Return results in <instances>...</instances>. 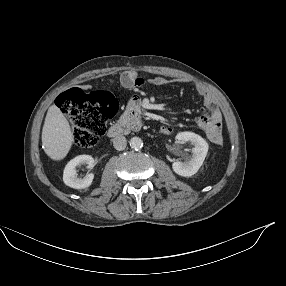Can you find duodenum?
<instances>
[{
  "mask_svg": "<svg viewBox=\"0 0 286 286\" xmlns=\"http://www.w3.org/2000/svg\"><path fill=\"white\" fill-rule=\"evenodd\" d=\"M133 113L136 115L127 120H122L118 123L112 124L107 130V136L110 138H115L129 133L131 130L139 129L140 121L137 117L138 111H134Z\"/></svg>",
  "mask_w": 286,
  "mask_h": 286,
  "instance_id": "duodenum-1",
  "label": "duodenum"
}]
</instances>
